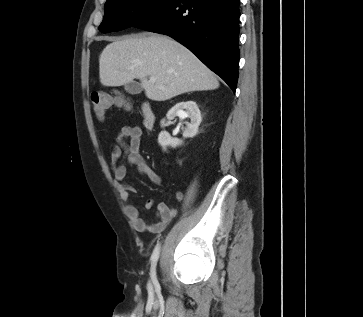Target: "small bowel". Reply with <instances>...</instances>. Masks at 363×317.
<instances>
[{
	"instance_id": "c3829d8e",
	"label": "small bowel",
	"mask_w": 363,
	"mask_h": 317,
	"mask_svg": "<svg viewBox=\"0 0 363 317\" xmlns=\"http://www.w3.org/2000/svg\"><path fill=\"white\" fill-rule=\"evenodd\" d=\"M141 137L142 130L138 126H123L117 133L115 137L117 147L112 152V159L116 160L123 149L124 160L114 167V178L119 183L120 196L125 204V213L134 228L149 233H159L162 232L177 215V208L161 203L157 206L158 220L155 223L146 222L139 209L132 204L130 193L135 191L134 187L125 181L128 167L135 166L138 172L145 174L151 182L155 184L161 183V176L154 171L150 164L140 154ZM127 139H129L128 143L126 142ZM182 198V193L177 192L176 199L181 201ZM154 204V199H148L145 203V207L151 209Z\"/></svg>"
}]
</instances>
